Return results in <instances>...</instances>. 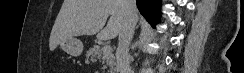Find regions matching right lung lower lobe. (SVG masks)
Returning a JSON list of instances; mask_svg holds the SVG:
<instances>
[{"label": "right lung lower lobe", "mask_w": 244, "mask_h": 73, "mask_svg": "<svg viewBox=\"0 0 244 73\" xmlns=\"http://www.w3.org/2000/svg\"><path fill=\"white\" fill-rule=\"evenodd\" d=\"M161 0H137V7L147 21L155 26L160 18Z\"/></svg>", "instance_id": "1"}]
</instances>
